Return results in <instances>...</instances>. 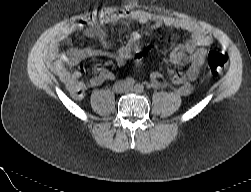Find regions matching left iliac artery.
I'll return each mask as SVG.
<instances>
[{
    "mask_svg": "<svg viewBox=\"0 0 251 192\" xmlns=\"http://www.w3.org/2000/svg\"><path fill=\"white\" fill-rule=\"evenodd\" d=\"M143 89H144V86H143L142 84H136V85H135V90H136L137 92H142Z\"/></svg>",
    "mask_w": 251,
    "mask_h": 192,
    "instance_id": "obj_1",
    "label": "left iliac artery"
}]
</instances>
